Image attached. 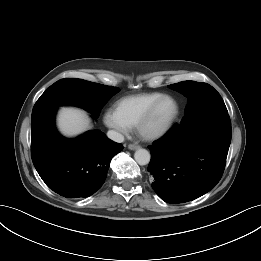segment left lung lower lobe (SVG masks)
<instances>
[{
    "label": "left lung lower lobe",
    "instance_id": "obj_1",
    "mask_svg": "<svg viewBox=\"0 0 261 261\" xmlns=\"http://www.w3.org/2000/svg\"><path fill=\"white\" fill-rule=\"evenodd\" d=\"M231 142L228 113L174 125L149 146L152 188L167 203L197 199L219 182Z\"/></svg>",
    "mask_w": 261,
    "mask_h": 261
}]
</instances>
